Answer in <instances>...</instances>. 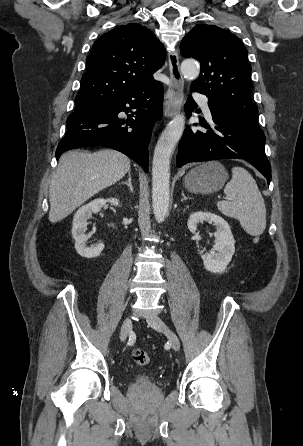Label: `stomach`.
<instances>
[{"instance_id": "obj_1", "label": "stomach", "mask_w": 303, "mask_h": 446, "mask_svg": "<svg viewBox=\"0 0 303 446\" xmlns=\"http://www.w3.org/2000/svg\"><path fill=\"white\" fill-rule=\"evenodd\" d=\"M228 179V173L219 162L203 163L191 171L184 178V186L193 193L210 194L223 187Z\"/></svg>"}]
</instances>
